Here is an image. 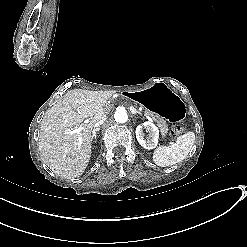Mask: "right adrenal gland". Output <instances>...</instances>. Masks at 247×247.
<instances>
[{
    "mask_svg": "<svg viewBox=\"0 0 247 247\" xmlns=\"http://www.w3.org/2000/svg\"><path fill=\"white\" fill-rule=\"evenodd\" d=\"M98 131H100V128L93 129V135H92L91 141L96 140V132Z\"/></svg>",
    "mask_w": 247,
    "mask_h": 247,
    "instance_id": "obj_1",
    "label": "right adrenal gland"
}]
</instances>
